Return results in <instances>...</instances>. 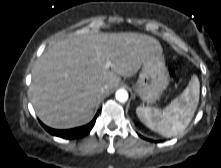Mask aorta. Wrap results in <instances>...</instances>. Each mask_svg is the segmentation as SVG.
Here are the masks:
<instances>
[{"mask_svg": "<svg viewBox=\"0 0 221 168\" xmlns=\"http://www.w3.org/2000/svg\"><path fill=\"white\" fill-rule=\"evenodd\" d=\"M116 100L119 102H126L128 100V92L124 89H119L115 94Z\"/></svg>", "mask_w": 221, "mask_h": 168, "instance_id": "obj_1", "label": "aorta"}]
</instances>
